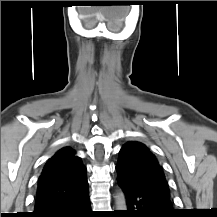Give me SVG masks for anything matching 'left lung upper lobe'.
Returning a JSON list of instances; mask_svg holds the SVG:
<instances>
[{
  "label": "left lung upper lobe",
  "instance_id": "left-lung-upper-lobe-1",
  "mask_svg": "<svg viewBox=\"0 0 217 217\" xmlns=\"http://www.w3.org/2000/svg\"><path fill=\"white\" fill-rule=\"evenodd\" d=\"M116 171L121 180L133 187L170 196L162 167L142 143L127 142L121 148Z\"/></svg>",
  "mask_w": 217,
  "mask_h": 217
}]
</instances>
